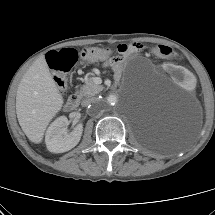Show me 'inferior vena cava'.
Instances as JSON below:
<instances>
[{
  "label": "inferior vena cava",
  "mask_w": 215,
  "mask_h": 215,
  "mask_svg": "<svg viewBox=\"0 0 215 215\" xmlns=\"http://www.w3.org/2000/svg\"><path fill=\"white\" fill-rule=\"evenodd\" d=\"M99 103L98 98H88L82 101V106H88L90 104H96Z\"/></svg>",
  "instance_id": "1"
}]
</instances>
